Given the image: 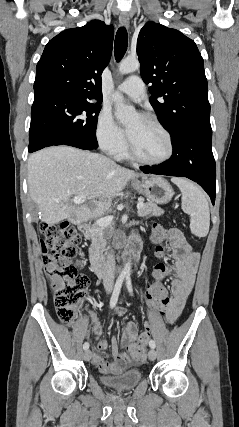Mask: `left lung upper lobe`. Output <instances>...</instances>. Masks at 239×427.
Instances as JSON below:
<instances>
[{
	"label": "left lung upper lobe",
	"instance_id": "1",
	"mask_svg": "<svg viewBox=\"0 0 239 427\" xmlns=\"http://www.w3.org/2000/svg\"><path fill=\"white\" fill-rule=\"evenodd\" d=\"M137 54L141 76L152 84L149 101L172 141L186 129H211L204 62L195 42L148 22L139 32Z\"/></svg>",
	"mask_w": 239,
	"mask_h": 427
}]
</instances>
